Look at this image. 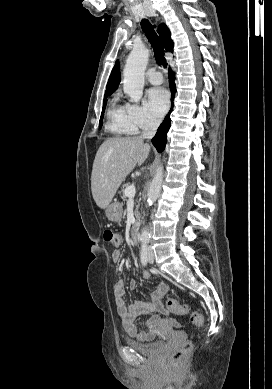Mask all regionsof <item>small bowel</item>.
Returning a JSON list of instances; mask_svg holds the SVG:
<instances>
[{
  "instance_id": "c3829d8e",
  "label": "small bowel",
  "mask_w": 272,
  "mask_h": 389,
  "mask_svg": "<svg viewBox=\"0 0 272 389\" xmlns=\"http://www.w3.org/2000/svg\"><path fill=\"white\" fill-rule=\"evenodd\" d=\"M122 258V253L119 250H115L112 253V260L119 262ZM148 272L144 273L145 278H150ZM129 288L135 290L137 283L135 280L129 282ZM169 291V285L167 283H160L156 290L151 295L150 299L139 298L132 304L127 305L125 302V283L123 280H118L114 285V296L116 302V308L118 315L121 319L123 329L133 339L139 341H150L155 337V327L159 320V317L154 315L146 322L148 331H138L134 325V322L143 314L146 313H161L165 314V308L162 305V299L167 295ZM171 324H176L175 320H170Z\"/></svg>"
}]
</instances>
